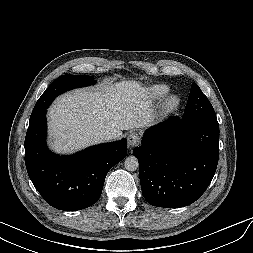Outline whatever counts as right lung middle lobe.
Returning <instances> with one entry per match:
<instances>
[{
    "label": "right lung middle lobe",
    "instance_id": "1",
    "mask_svg": "<svg viewBox=\"0 0 253 253\" xmlns=\"http://www.w3.org/2000/svg\"><path fill=\"white\" fill-rule=\"evenodd\" d=\"M96 80L87 75H62L57 78L38 99L30 118L35 117L40 112L46 110L56 96L77 87L95 84Z\"/></svg>",
    "mask_w": 253,
    "mask_h": 253
}]
</instances>
